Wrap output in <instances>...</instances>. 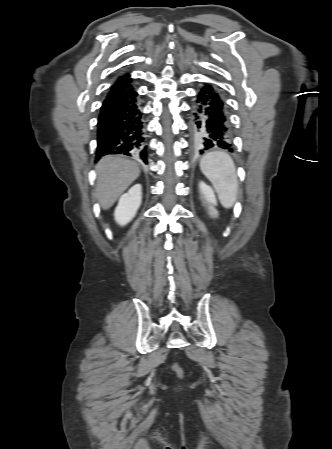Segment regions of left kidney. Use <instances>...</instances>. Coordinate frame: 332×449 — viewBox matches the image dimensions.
<instances>
[{
	"label": "left kidney",
	"mask_w": 332,
	"mask_h": 449,
	"mask_svg": "<svg viewBox=\"0 0 332 449\" xmlns=\"http://www.w3.org/2000/svg\"><path fill=\"white\" fill-rule=\"evenodd\" d=\"M200 194L202 195V199H204L205 203L209 204V214L212 217H217L218 213L214 206L217 205V200L212 188L204 182L199 183Z\"/></svg>",
	"instance_id": "left-kidney-1"
}]
</instances>
